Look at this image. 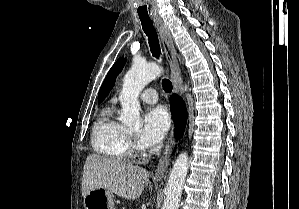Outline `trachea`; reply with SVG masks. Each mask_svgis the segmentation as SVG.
Listing matches in <instances>:
<instances>
[{
    "instance_id": "trachea-1",
    "label": "trachea",
    "mask_w": 299,
    "mask_h": 209,
    "mask_svg": "<svg viewBox=\"0 0 299 209\" xmlns=\"http://www.w3.org/2000/svg\"><path fill=\"white\" fill-rule=\"evenodd\" d=\"M142 28L144 33L147 35L150 45L151 53L154 57L159 58L160 56V45L156 30L149 17H140ZM162 87L166 93L172 92V83L168 79L162 80Z\"/></svg>"
}]
</instances>
